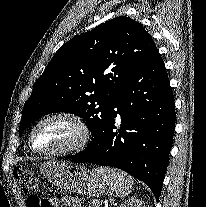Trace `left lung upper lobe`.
Listing matches in <instances>:
<instances>
[{
	"instance_id": "obj_1",
	"label": "left lung upper lobe",
	"mask_w": 206,
	"mask_h": 207,
	"mask_svg": "<svg viewBox=\"0 0 206 207\" xmlns=\"http://www.w3.org/2000/svg\"><path fill=\"white\" fill-rule=\"evenodd\" d=\"M137 21L119 16L78 35L55 53L25 102L21 135L37 118L54 112L76 114L93 139L101 132L120 89L156 50Z\"/></svg>"
}]
</instances>
